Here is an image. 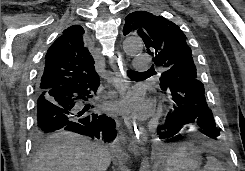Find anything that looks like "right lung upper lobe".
Segmentation results:
<instances>
[{
	"label": "right lung upper lobe",
	"mask_w": 245,
	"mask_h": 171,
	"mask_svg": "<svg viewBox=\"0 0 245 171\" xmlns=\"http://www.w3.org/2000/svg\"><path fill=\"white\" fill-rule=\"evenodd\" d=\"M99 79L91 47L80 25L70 26L49 47L37 90H49L71 83Z\"/></svg>",
	"instance_id": "1"
}]
</instances>
